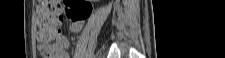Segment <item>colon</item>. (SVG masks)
Masks as SVG:
<instances>
[{
	"label": "colon",
	"instance_id": "colon-1",
	"mask_svg": "<svg viewBox=\"0 0 225 58\" xmlns=\"http://www.w3.org/2000/svg\"><path fill=\"white\" fill-rule=\"evenodd\" d=\"M53 3V1L42 0L39 1L37 7L38 39L43 42L60 37L59 26L63 13H66L72 21H82L89 16L92 10L91 3L84 0H67L65 9L55 6ZM60 54L61 51H57L52 57L57 58Z\"/></svg>",
	"mask_w": 225,
	"mask_h": 58
}]
</instances>
